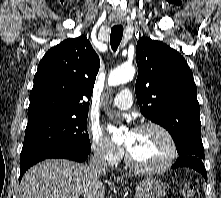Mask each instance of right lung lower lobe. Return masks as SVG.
<instances>
[{
  "label": "right lung lower lobe",
  "mask_w": 221,
  "mask_h": 198,
  "mask_svg": "<svg viewBox=\"0 0 221 198\" xmlns=\"http://www.w3.org/2000/svg\"><path fill=\"white\" fill-rule=\"evenodd\" d=\"M89 153H85L73 148H66V147H53L48 148L42 151H39L30 157L20 161V178L21 180L23 174L29 169L31 166L36 164L39 161L48 158H65L70 159L78 162H83L88 157Z\"/></svg>",
  "instance_id": "right-lung-lower-lobe-1"
}]
</instances>
